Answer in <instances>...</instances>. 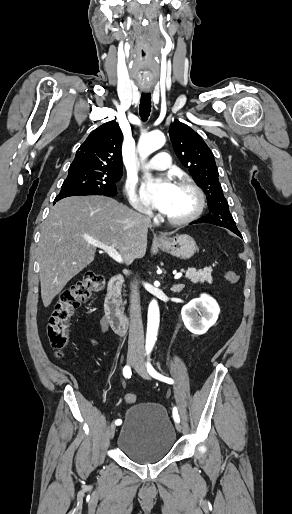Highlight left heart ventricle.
<instances>
[{"instance_id": "b2bd125f", "label": "left heart ventricle", "mask_w": 292, "mask_h": 514, "mask_svg": "<svg viewBox=\"0 0 292 514\" xmlns=\"http://www.w3.org/2000/svg\"><path fill=\"white\" fill-rule=\"evenodd\" d=\"M194 206V194L188 189L177 187L165 213L173 217H184L194 209Z\"/></svg>"}]
</instances>
